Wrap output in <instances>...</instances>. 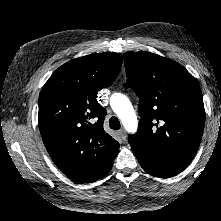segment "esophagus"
I'll return each instance as SVG.
<instances>
[{
  "mask_svg": "<svg viewBox=\"0 0 221 221\" xmlns=\"http://www.w3.org/2000/svg\"><path fill=\"white\" fill-rule=\"evenodd\" d=\"M118 133H119V136L122 140L126 139L127 133H126L125 129H121Z\"/></svg>",
  "mask_w": 221,
  "mask_h": 221,
  "instance_id": "obj_1",
  "label": "esophagus"
}]
</instances>
